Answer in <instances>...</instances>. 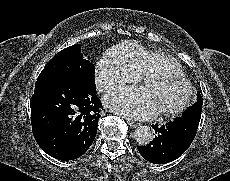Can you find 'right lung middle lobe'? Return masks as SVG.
Masks as SVG:
<instances>
[{"mask_svg": "<svg viewBox=\"0 0 230 181\" xmlns=\"http://www.w3.org/2000/svg\"><path fill=\"white\" fill-rule=\"evenodd\" d=\"M95 69L89 60L83 59L81 46L74 44L58 52L44 67L36 85L44 82L70 81L95 89Z\"/></svg>", "mask_w": 230, "mask_h": 181, "instance_id": "dd1d6c3e", "label": "right lung middle lobe"}]
</instances>
